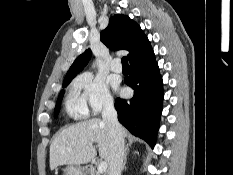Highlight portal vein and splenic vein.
Listing matches in <instances>:
<instances>
[{"label":"portal vein and splenic vein","instance_id":"1","mask_svg":"<svg viewBox=\"0 0 233 175\" xmlns=\"http://www.w3.org/2000/svg\"><path fill=\"white\" fill-rule=\"evenodd\" d=\"M107 166H108L107 162L101 161L98 165V173L102 174L106 172Z\"/></svg>","mask_w":233,"mask_h":175}]
</instances>
